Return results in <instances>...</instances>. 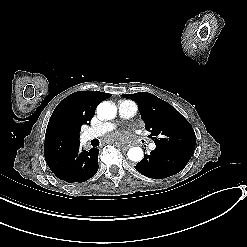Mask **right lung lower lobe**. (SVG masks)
I'll return each mask as SVG.
<instances>
[{
    "label": "right lung lower lobe",
    "instance_id": "1",
    "mask_svg": "<svg viewBox=\"0 0 247 247\" xmlns=\"http://www.w3.org/2000/svg\"><path fill=\"white\" fill-rule=\"evenodd\" d=\"M80 141L59 154L46 156V163L55 176L68 183H82L98 171L97 148L81 150Z\"/></svg>",
    "mask_w": 247,
    "mask_h": 247
}]
</instances>
